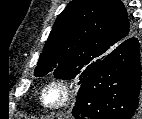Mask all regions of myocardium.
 I'll list each match as a JSON object with an SVG mask.
<instances>
[{
  "label": "myocardium",
  "instance_id": "myocardium-1",
  "mask_svg": "<svg viewBox=\"0 0 142 119\" xmlns=\"http://www.w3.org/2000/svg\"><path fill=\"white\" fill-rule=\"evenodd\" d=\"M50 94H55L50 99ZM73 95L72 86L64 79H52L42 89L40 94L41 105L51 111H56L66 107Z\"/></svg>",
  "mask_w": 142,
  "mask_h": 119
}]
</instances>
